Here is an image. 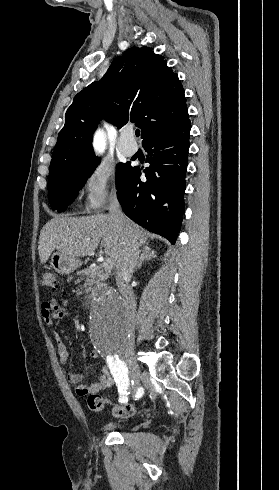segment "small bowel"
I'll return each instance as SVG.
<instances>
[{"instance_id": "obj_1", "label": "small bowel", "mask_w": 279, "mask_h": 490, "mask_svg": "<svg viewBox=\"0 0 279 490\" xmlns=\"http://www.w3.org/2000/svg\"><path fill=\"white\" fill-rule=\"evenodd\" d=\"M41 316L45 323L51 324L53 321L70 317V312L66 307L60 305L56 300H49L41 306ZM55 343L59 360L62 364L67 363L70 360V351L65 341L59 336L55 335ZM96 352H92L91 357L95 358ZM86 371H74L68 374L67 379L71 383L78 395L95 394L104 389L110 388L113 384V379L110 371L107 367H103L99 379L91 384L83 383Z\"/></svg>"}]
</instances>
